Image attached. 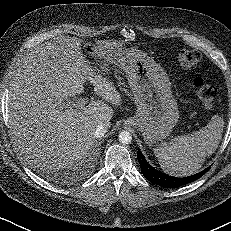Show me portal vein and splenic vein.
<instances>
[{
    "label": "portal vein and splenic vein",
    "instance_id": "obj_1",
    "mask_svg": "<svg viewBox=\"0 0 231 231\" xmlns=\"http://www.w3.org/2000/svg\"><path fill=\"white\" fill-rule=\"evenodd\" d=\"M89 101L88 98H74L72 101H69L67 103H64L63 101H59L58 104L61 105L62 108H83L85 104H87Z\"/></svg>",
    "mask_w": 231,
    "mask_h": 231
}]
</instances>
